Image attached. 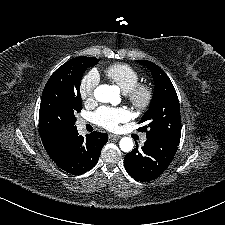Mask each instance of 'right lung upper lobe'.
Listing matches in <instances>:
<instances>
[{"instance_id": "1", "label": "right lung upper lobe", "mask_w": 225, "mask_h": 225, "mask_svg": "<svg viewBox=\"0 0 225 225\" xmlns=\"http://www.w3.org/2000/svg\"><path fill=\"white\" fill-rule=\"evenodd\" d=\"M81 57L73 58L69 61H67L65 64H63L61 67H59L56 72H62V71H72L75 69L79 61L81 60ZM40 133L41 140L43 143L44 148L46 149L48 155L50 158H55L60 151L64 148L65 142L67 138L73 133L64 134V135H49Z\"/></svg>"}]
</instances>
